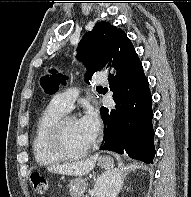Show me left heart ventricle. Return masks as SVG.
Segmentation results:
<instances>
[{"mask_svg":"<svg viewBox=\"0 0 191 197\" xmlns=\"http://www.w3.org/2000/svg\"><path fill=\"white\" fill-rule=\"evenodd\" d=\"M89 141L80 129L77 120L69 121L64 130V144L71 153H79L89 146Z\"/></svg>","mask_w":191,"mask_h":197,"instance_id":"b2bd125f","label":"left heart ventricle"}]
</instances>
